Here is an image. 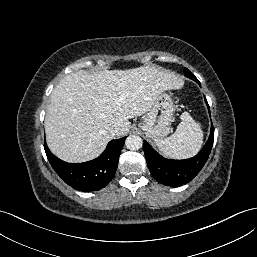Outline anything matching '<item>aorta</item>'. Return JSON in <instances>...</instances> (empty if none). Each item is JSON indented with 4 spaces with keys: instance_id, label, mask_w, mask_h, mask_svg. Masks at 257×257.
<instances>
[{
    "instance_id": "762f6f07",
    "label": "aorta",
    "mask_w": 257,
    "mask_h": 257,
    "mask_svg": "<svg viewBox=\"0 0 257 257\" xmlns=\"http://www.w3.org/2000/svg\"><path fill=\"white\" fill-rule=\"evenodd\" d=\"M125 145H126L127 149H129V150H138L142 147L143 140L139 136L131 135V136L127 137V139L125 141Z\"/></svg>"
}]
</instances>
